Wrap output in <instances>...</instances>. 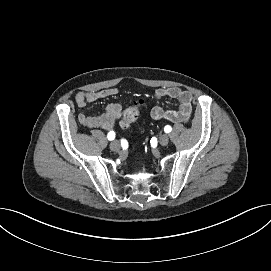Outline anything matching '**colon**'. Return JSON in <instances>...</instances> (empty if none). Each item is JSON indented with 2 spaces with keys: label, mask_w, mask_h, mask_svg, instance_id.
<instances>
[{
  "label": "colon",
  "mask_w": 271,
  "mask_h": 271,
  "mask_svg": "<svg viewBox=\"0 0 271 271\" xmlns=\"http://www.w3.org/2000/svg\"><path fill=\"white\" fill-rule=\"evenodd\" d=\"M140 108L141 102H135L125 109L123 118L120 123L123 129L128 128L133 122L137 120L140 113Z\"/></svg>",
  "instance_id": "5ec220e1"
}]
</instances>
